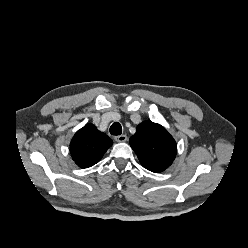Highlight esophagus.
I'll return each instance as SVG.
<instances>
[{
    "label": "esophagus",
    "mask_w": 248,
    "mask_h": 248,
    "mask_svg": "<svg viewBox=\"0 0 248 248\" xmlns=\"http://www.w3.org/2000/svg\"><path fill=\"white\" fill-rule=\"evenodd\" d=\"M114 140L116 142H125L127 140V136L122 134V135H119V136H115L114 137Z\"/></svg>",
    "instance_id": "obj_1"
}]
</instances>
